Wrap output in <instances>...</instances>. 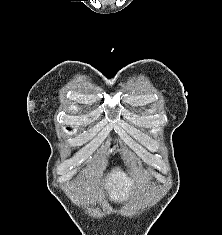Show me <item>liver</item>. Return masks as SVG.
<instances>
[{
	"label": "liver",
	"mask_w": 222,
	"mask_h": 235,
	"mask_svg": "<svg viewBox=\"0 0 222 235\" xmlns=\"http://www.w3.org/2000/svg\"><path fill=\"white\" fill-rule=\"evenodd\" d=\"M133 185L134 182L119 168H116L108 174L105 187L112 201L121 202L131 195Z\"/></svg>",
	"instance_id": "liver-1"
}]
</instances>
